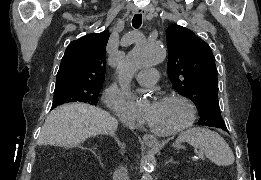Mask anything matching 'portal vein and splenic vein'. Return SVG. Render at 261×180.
<instances>
[{
	"instance_id": "18ae733b",
	"label": "portal vein and splenic vein",
	"mask_w": 261,
	"mask_h": 180,
	"mask_svg": "<svg viewBox=\"0 0 261 180\" xmlns=\"http://www.w3.org/2000/svg\"><path fill=\"white\" fill-rule=\"evenodd\" d=\"M199 158H204V153H199Z\"/></svg>"
}]
</instances>
